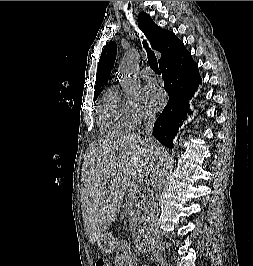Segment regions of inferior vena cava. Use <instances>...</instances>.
<instances>
[{
	"instance_id": "inferior-vena-cava-1",
	"label": "inferior vena cava",
	"mask_w": 253,
	"mask_h": 266,
	"mask_svg": "<svg viewBox=\"0 0 253 266\" xmlns=\"http://www.w3.org/2000/svg\"><path fill=\"white\" fill-rule=\"evenodd\" d=\"M155 122L154 115H147L144 118V127L141 130V135H143L146 141H152V129ZM147 186L150 187V181H146ZM147 196V197H146ZM152 194H150V189H147V194H145V199L147 198V207L144 210V228L148 234L149 244H151L153 249V254L156 256L157 259L161 260V248L159 244V236H158V229L156 228L155 224V209L152 206V202H150Z\"/></svg>"
}]
</instances>
